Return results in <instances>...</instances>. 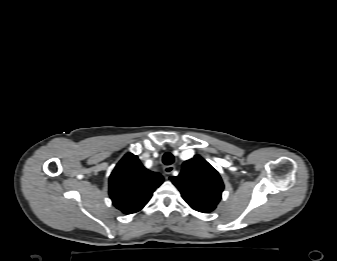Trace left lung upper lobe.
Segmentation results:
<instances>
[{
    "label": "left lung upper lobe",
    "instance_id": "left-lung-upper-lobe-1",
    "mask_svg": "<svg viewBox=\"0 0 337 261\" xmlns=\"http://www.w3.org/2000/svg\"><path fill=\"white\" fill-rule=\"evenodd\" d=\"M170 179L189 206L202 213L216 208L224 189L219 173L198 155L185 161L181 173Z\"/></svg>",
    "mask_w": 337,
    "mask_h": 261
}]
</instances>
